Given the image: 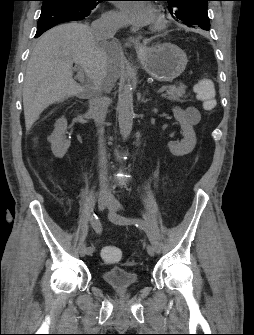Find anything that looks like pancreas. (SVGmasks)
Here are the masks:
<instances>
[{"mask_svg":"<svg viewBox=\"0 0 254 335\" xmlns=\"http://www.w3.org/2000/svg\"><path fill=\"white\" fill-rule=\"evenodd\" d=\"M186 86L183 83L179 85L166 86V93L163 97L170 101L182 102L183 98H186Z\"/></svg>","mask_w":254,"mask_h":335,"instance_id":"pancreas-1","label":"pancreas"}]
</instances>
